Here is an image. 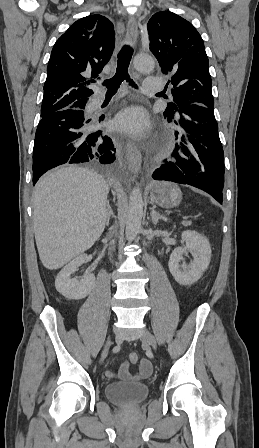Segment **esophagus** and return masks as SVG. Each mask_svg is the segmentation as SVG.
Masks as SVG:
<instances>
[{
	"instance_id": "esophagus-1",
	"label": "esophagus",
	"mask_w": 259,
	"mask_h": 448,
	"mask_svg": "<svg viewBox=\"0 0 259 448\" xmlns=\"http://www.w3.org/2000/svg\"><path fill=\"white\" fill-rule=\"evenodd\" d=\"M138 38V26L134 17H129L127 23V39L131 44H135ZM126 157L129 164V170L135 176L139 173L142 164V155L140 150L131 142L127 143Z\"/></svg>"
}]
</instances>
